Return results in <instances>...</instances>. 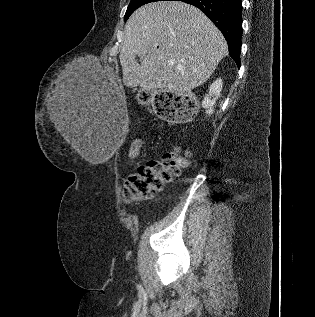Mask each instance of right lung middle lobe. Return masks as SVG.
I'll return each mask as SVG.
<instances>
[{"label": "right lung middle lobe", "mask_w": 315, "mask_h": 317, "mask_svg": "<svg viewBox=\"0 0 315 317\" xmlns=\"http://www.w3.org/2000/svg\"><path fill=\"white\" fill-rule=\"evenodd\" d=\"M155 1H171V0H131L127 8L124 20L126 21L130 17V15L140 6L150 2H155Z\"/></svg>", "instance_id": "dd1d6c3e"}]
</instances>
